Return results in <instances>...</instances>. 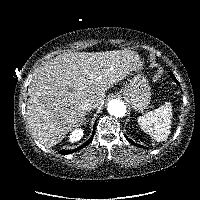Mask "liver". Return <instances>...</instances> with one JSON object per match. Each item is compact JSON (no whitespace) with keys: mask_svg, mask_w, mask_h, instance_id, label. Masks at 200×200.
Wrapping results in <instances>:
<instances>
[{"mask_svg":"<svg viewBox=\"0 0 200 200\" xmlns=\"http://www.w3.org/2000/svg\"><path fill=\"white\" fill-rule=\"evenodd\" d=\"M141 63L131 50L69 51L46 62L35 72L29 89L26 115L32 135L45 147L58 144L82 124L84 100H92L98 108L105 92Z\"/></svg>","mask_w":200,"mask_h":200,"instance_id":"1","label":"liver"}]
</instances>
